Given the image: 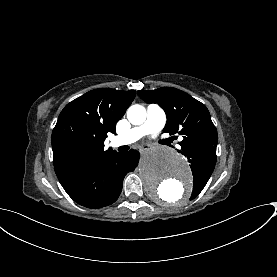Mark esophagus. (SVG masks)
Instances as JSON below:
<instances>
[{"label":"esophagus","mask_w":277,"mask_h":277,"mask_svg":"<svg viewBox=\"0 0 277 277\" xmlns=\"http://www.w3.org/2000/svg\"><path fill=\"white\" fill-rule=\"evenodd\" d=\"M140 152H142L143 151V148H140V150H139Z\"/></svg>","instance_id":"1"}]
</instances>
